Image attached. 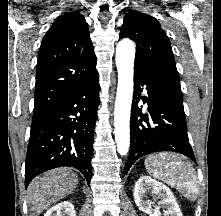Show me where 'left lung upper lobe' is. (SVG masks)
<instances>
[{
	"instance_id": "left-lung-upper-lobe-1",
	"label": "left lung upper lobe",
	"mask_w": 221,
	"mask_h": 216,
	"mask_svg": "<svg viewBox=\"0 0 221 216\" xmlns=\"http://www.w3.org/2000/svg\"><path fill=\"white\" fill-rule=\"evenodd\" d=\"M128 37L136 43L134 65L155 75L168 90L173 103L183 111V95L170 41L152 16L130 11L124 18L120 38Z\"/></svg>"
}]
</instances>
